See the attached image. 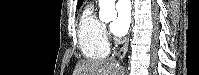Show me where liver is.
Instances as JSON below:
<instances>
[{"instance_id": "obj_1", "label": "liver", "mask_w": 199, "mask_h": 75, "mask_svg": "<svg viewBox=\"0 0 199 75\" xmlns=\"http://www.w3.org/2000/svg\"><path fill=\"white\" fill-rule=\"evenodd\" d=\"M120 66L113 60L81 61L74 70V75H120Z\"/></svg>"}]
</instances>
